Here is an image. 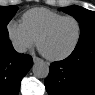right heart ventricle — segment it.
<instances>
[{
	"label": "right heart ventricle",
	"mask_w": 95,
	"mask_h": 95,
	"mask_svg": "<svg viewBox=\"0 0 95 95\" xmlns=\"http://www.w3.org/2000/svg\"><path fill=\"white\" fill-rule=\"evenodd\" d=\"M63 16L46 8H33L23 14L22 25L30 36L37 41L38 36L45 28Z\"/></svg>",
	"instance_id": "e07e8e85"
}]
</instances>
